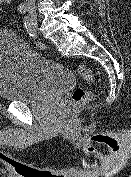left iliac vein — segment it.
Instances as JSON below:
<instances>
[{"label": "left iliac vein", "instance_id": "4c4485c4", "mask_svg": "<svg viewBox=\"0 0 131 177\" xmlns=\"http://www.w3.org/2000/svg\"><path fill=\"white\" fill-rule=\"evenodd\" d=\"M31 21L33 23L34 28L36 29L37 28V20H36V18H32Z\"/></svg>", "mask_w": 131, "mask_h": 177}]
</instances>
